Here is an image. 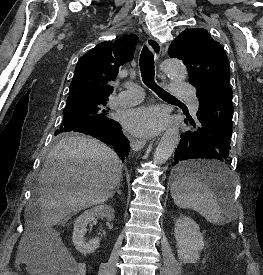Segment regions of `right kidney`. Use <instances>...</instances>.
<instances>
[{
  "mask_svg": "<svg viewBox=\"0 0 263 275\" xmlns=\"http://www.w3.org/2000/svg\"><path fill=\"white\" fill-rule=\"evenodd\" d=\"M113 213L114 210L110 206L99 205L85 211L75 220L72 240L77 251L86 255L93 253L99 248L100 241L98 238H93L88 242L84 240V235L87 232V225L92 222L96 216L105 217L108 221H112L114 218Z\"/></svg>",
  "mask_w": 263,
  "mask_h": 275,
  "instance_id": "right-kidney-1",
  "label": "right kidney"
}]
</instances>
